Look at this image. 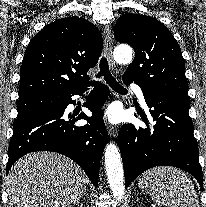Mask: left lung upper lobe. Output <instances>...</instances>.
Listing matches in <instances>:
<instances>
[{
    "label": "left lung upper lobe",
    "instance_id": "left-lung-upper-lobe-1",
    "mask_svg": "<svg viewBox=\"0 0 206 207\" xmlns=\"http://www.w3.org/2000/svg\"><path fill=\"white\" fill-rule=\"evenodd\" d=\"M114 34L135 51L123 78L134 81L143 92L190 101L181 49L164 24L149 16L125 13L117 20Z\"/></svg>",
    "mask_w": 206,
    "mask_h": 207
}]
</instances>
